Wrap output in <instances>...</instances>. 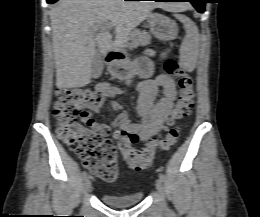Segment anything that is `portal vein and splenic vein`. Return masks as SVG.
<instances>
[{"label":"portal vein and splenic vein","mask_w":260,"mask_h":217,"mask_svg":"<svg viewBox=\"0 0 260 217\" xmlns=\"http://www.w3.org/2000/svg\"><path fill=\"white\" fill-rule=\"evenodd\" d=\"M114 26V24L112 23H106L100 27H96V28H93V32L97 31V30H106V29H111L112 27Z\"/></svg>","instance_id":"obj_1"}]
</instances>
